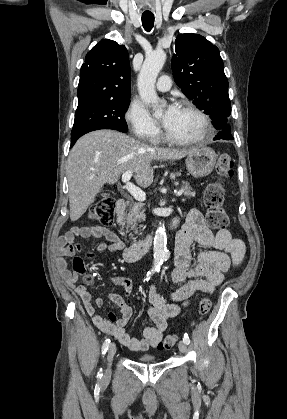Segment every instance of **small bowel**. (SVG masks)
<instances>
[{"label": "small bowel", "instance_id": "1", "mask_svg": "<svg viewBox=\"0 0 287 419\" xmlns=\"http://www.w3.org/2000/svg\"><path fill=\"white\" fill-rule=\"evenodd\" d=\"M176 223V222H175ZM77 237L86 239L105 238L96 250L100 253L110 251L118 252L124 249V243L117 234L100 226L73 227L63 235L59 241L56 254V266L67 285L75 288L88 315L93 323L103 332L115 337L124 346L134 351H147L156 347L167 329L169 318L180 314L182 308L197 296L210 295L224 280V273L230 268L238 266L244 257L245 246L242 241L232 237L227 229L211 230L205 223L202 215L197 210H190L185 214L181 231L178 233L174 263L170 279L174 283H183L171 296L170 301L162 297L153 286L149 292L150 306L148 309L149 320L154 326L143 329V338H132L125 330V325L132 316V309L128 302L116 294H109V300L121 311V317L110 312L106 317L101 316L96 307L103 305V299L97 297L92 300L91 294L84 285L76 286L78 273L68 269L67 257L73 254V247ZM199 243L207 248L201 251L192 263L191 245ZM111 283L122 286L129 299L133 285L128 277L118 276L111 279Z\"/></svg>", "mask_w": 287, "mask_h": 419}]
</instances>
